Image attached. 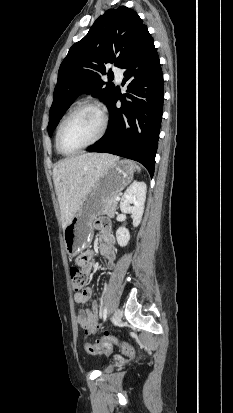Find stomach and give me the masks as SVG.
Segmentation results:
<instances>
[{"label": "stomach", "instance_id": "stomach-1", "mask_svg": "<svg viewBox=\"0 0 233 413\" xmlns=\"http://www.w3.org/2000/svg\"><path fill=\"white\" fill-rule=\"evenodd\" d=\"M134 165L127 160L116 161L109 165L91 188L77 213L63 230L66 252L76 256L92 236V222L103 213V202L110 196H116L133 179Z\"/></svg>", "mask_w": 233, "mask_h": 413}]
</instances>
